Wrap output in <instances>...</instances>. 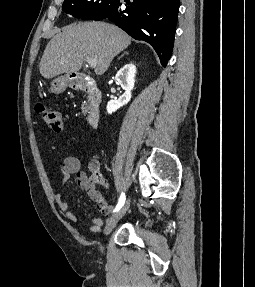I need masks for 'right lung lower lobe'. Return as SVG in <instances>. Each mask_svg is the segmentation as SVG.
Here are the masks:
<instances>
[{"mask_svg": "<svg viewBox=\"0 0 255 287\" xmlns=\"http://www.w3.org/2000/svg\"><path fill=\"white\" fill-rule=\"evenodd\" d=\"M106 18L131 37L151 44L165 67L171 56L179 0H124ZM104 18V19H106Z\"/></svg>", "mask_w": 255, "mask_h": 287, "instance_id": "obj_1", "label": "right lung lower lobe"}]
</instances>
